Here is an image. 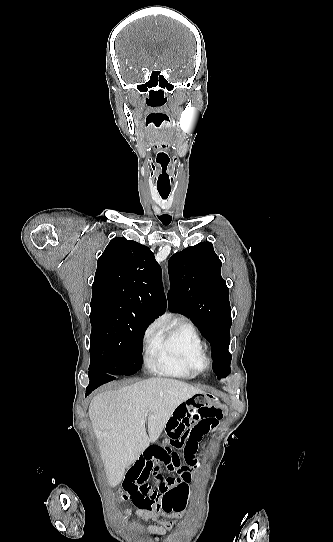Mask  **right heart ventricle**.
<instances>
[{
	"label": "right heart ventricle",
	"instance_id": "1",
	"mask_svg": "<svg viewBox=\"0 0 333 542\" xmlns=\"http://www.w3.org/2000/svg\"><path fill=\"white\" fill-rule=\"evenodd\" d=\"M148 365L163 374L180 378H195L203 371L205 349L196 328L180 322L160 332L146 348Z\"/></svg>",
	"mask_w": 333,
	"mask_h": 542
}]
</instances>
